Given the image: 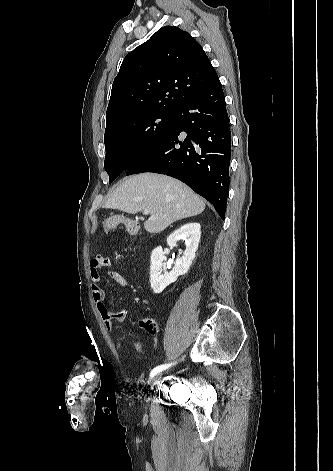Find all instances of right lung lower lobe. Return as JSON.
I'll use <instances>...</instances> for the list:
<instances>
[{
  "label": "right lung lower lobe",
  "mask_w": 333,
  "mask_h": 471,
  "mask_svg": "<svg viewBox=\"0 0 333 471\" xmlns=\"http://www.w3.org/2000/svg\"><path fill=\"white\" fill-rule=\"evenodd\" d=\"M230 156L229 120L218 78L178 108L172 126L126 175L154 172L177 178L211 202L224 220Z\"/></svg>",
  "instance_id": "98d812e1"
}]
</instances>
